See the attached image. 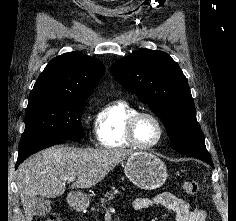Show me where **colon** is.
Wrapping results in <instances>:
<instances>
[{
	"instance_id": "obj_1",
	"label": "colon",
	"mask_w": 236,
	"mask_h": 221,
	"mask_svg": "<svg viewBox=\"0 0 236 221\" xmlns=\"http://www.w3.org/2000/svg\"><path fill=\"white\" fill-rule=\"evenodd\" d=\"M182 186L184 193L188 196H195L199 193L200 190L198 182L193 178H185ZM43 221H63V219H61L57 215H50Z\"/></svg>"
}]
</instances>
